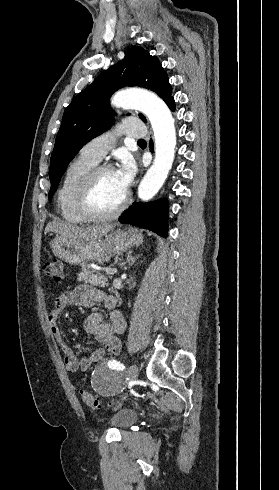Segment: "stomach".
<instances>
[{"mask_svg":"<svg viewBox=\"0 0 279 490\" xmlns=\"http://www.w3.org/2000/svg\"><path fill=\"white\" fill-rule=\"evenodd\" d=\"M143 236L139 230L130 228L129 232L121 230H109L102 238L90 240V242H74L68 238L56 236L50 242V248L59 260L71 264V266H84L87 262H98L104 264L114 254H121L131 246L142 244Z\"/></svg>","mask_w":279,"mask_h":490,"instance_id":"1","label":"stomach"}]
</instances>
